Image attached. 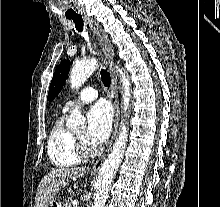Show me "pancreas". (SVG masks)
I'll return each mask as SVG.
<instances>
[{
	"mask_svg": "<svg viewBox=\"0 0 220 207\" xmlns=\"http://www.w3.org/2000/svg\"><path fill=\"white\" fill-rule=\"evenodd\" d=\"M65 207H73V201L71 197H68Z\"/></svg>",
	"mask_w": 220,
	"mask_h": 207,
	"instance_id": "pancreas-1",
	"label": "pancreas"
}]
</instances>
